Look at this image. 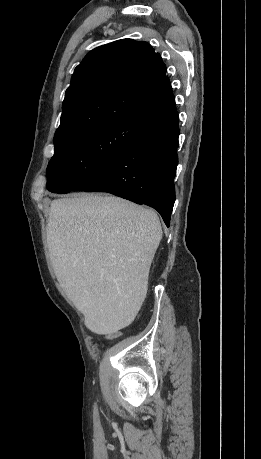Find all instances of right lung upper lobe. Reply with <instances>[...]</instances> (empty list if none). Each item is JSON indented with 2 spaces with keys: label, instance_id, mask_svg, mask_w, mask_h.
Here are the masks:
<instances>
[{
  "label": "right lung upper lobe",
  "instance_id": "obj_1",
  "mask_svg": "<svg viewBox=\"0 0 261 459\" xmlns=\"http://www.w3.org/2000/svg\"><path fill=\"white\" fill-rule=\"evenodd\" d=\"M55 139L130 120L150 125L176 109L166 66L147 42L100 46L75 68Z\"/></svg>",
  "mask_w": 261,
  "mask_h": 459
}]
</instances>
